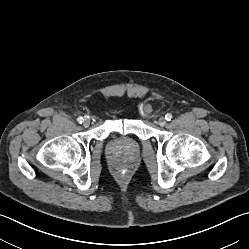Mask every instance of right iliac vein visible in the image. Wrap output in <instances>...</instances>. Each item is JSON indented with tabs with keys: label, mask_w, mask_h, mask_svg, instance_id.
<instances>
[{
	"label": "right iliac vein",
	"mask_w": 249,
	"mask_h": 249,
	"mask_svg": "<svg viewBox=\"0 0 249 249\" xmlns=\"http://www.w3.org/2000/svg\"><path fill=\"white\" fill-rule=\"evenodd\" d=\"M90 125V120L89 119H85L84 122H83V126L84 127H89Z\"/></svg>",
	"instance_id": "obj_1"
}]
</instances>
